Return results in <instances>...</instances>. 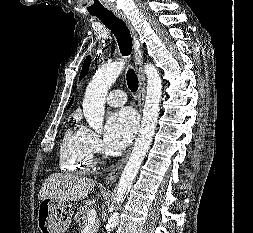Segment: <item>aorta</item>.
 <instances>
[{"label":"aorta","mask_w":253,"mask_h":233,"mask_svg":"<svg viewBox=\"0 0 253 233\" xmlns=\"http://www.w3.org/2000/svg\"><path fill=\"white\" fill-rule=\"evenodd\" d=\"M125 61L111 63L97 70L89 83L84 99L83 113L89 126L97 133L103 130L105 96L116 81ZM147 76V94L143 109V119L132 153L121 174L115 198V211L108 219L106 231L110 233L119 223L118 205L125 199L141 164L150 148L159 115V102L162 95V81L157 68L151 63L144 66Z\"/></svg>","instance_id":"aorta-1"}]
</instances>
